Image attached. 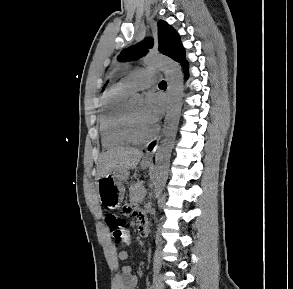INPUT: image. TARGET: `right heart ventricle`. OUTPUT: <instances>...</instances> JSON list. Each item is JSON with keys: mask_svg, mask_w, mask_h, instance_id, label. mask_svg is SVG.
<instances>
[{"mask_svg": "<svg viewBox=\"0 0 293 289\" xmlns=\"http://www.w3.org/2000/svg\"><path fill=\"white\" fill-rule=\"evenodd\" d=\"M130 93L118 83L103 96L99 122L102 144L107 149L122 147L130 143L124 128L125 108Z\"/></svg>", "mask_w": 293, "mask_h": 289, "instance_id": "1", "label": "right heart ventricle"}]
</instances>
